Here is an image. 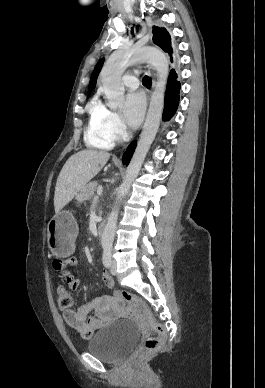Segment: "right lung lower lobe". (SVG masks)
<instances>
[{
  "label": "right lung lower lobe",
  "instance_id": "right-lung-lower-lobe-1",
  "mask_svg": "<svg viewBox=\"0 0 265 388\" xmlns=\"http://www.w3.org/2000/svg\"><path fill=\"white\" fill-rule=\"evenodd\" d=\"M135 146H136V141H133L127 148L126 152L124 153L123 155V163L125 165H128L132 155H133V152H134V149H135Z\"/></svg>",
  "mask_w": 265,
  "mask_h": 388
}]
</instances>
